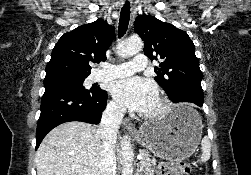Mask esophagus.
<instances>
[{
	"label": "esophagus",
	"mask_w": 251,
	"mask_h": 175,
	"mask_svg": "<svg viewBox=\"0 0 251 175\" xmlns=\"http://www.w3.org/2000/svg\"><path fill=\"white\" fill-rule=\"evenodd\" d=\"M123 126H124V128H128L129 130H132V126H131V124L129 123V119H125L124 120V122H123Z\"/></svg>",
	"instance_id": "1"
}]
</instances>
